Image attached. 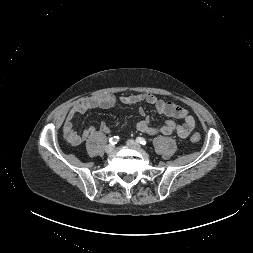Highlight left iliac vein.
Returning a JSON list of instances; mask_svg holds the SVG:
<instances>
[{
    "mask_svg": "<svg viewBox=\"0 0 253 253\" xmlns=\"http://www.w3.org/2000/svg\"><path fill=\"white\" fill-rule=\"evenodd\" d=\"M126 144H127L128 147H132V148H135V149H140V148H141L140 144L137 143V142L134 141V140H128V141L126 142Z\"/></svg>",
    "mask_w": 253,
    "mask_h": 253,
    "instance_id": "1",
    "label": "left iliac vein"
}]
</instances>
